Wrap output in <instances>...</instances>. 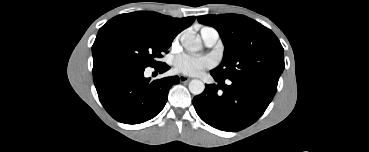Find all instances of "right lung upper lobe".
<instances>
[{"label": "right lung upper lobe", "instance_id": "cb5924a9", "mask_svg": "<svg viewBox=\"0 0 369 152\" xmlns=\"http://www.w3.org/2000/svg\"><path fill=\"white\" fill-rule=\"evenodd\" d=\"M162 38L173 40L178 33L189 27L195 16L172 18L156 12L138 11L118 16Z\"/></svg>", "mask_w": 369, "mask_h": 152}]
</instances>
